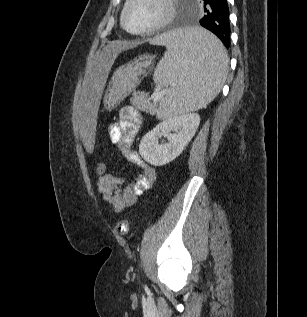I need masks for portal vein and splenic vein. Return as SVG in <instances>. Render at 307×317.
I'll return each mask as SVG.
<instances>
[{
  "mask_svg": "<svg viewBox=\"0 0 307 317\" xmlns=\"http://www.w3.org/2000/svg\"><path fill=\"white\" fill-rule=\"evenodd\" d=\"M165 90L163 91H156L154 92L152 95H151V99L154 101V102H157L159 101L165 94Z\"/></svg>",
  "mask_w": 307,
  "mask_h": 317,
  "instance_id": "1",
  "label": "portal vein and splenic vein"
}]
</instances>
